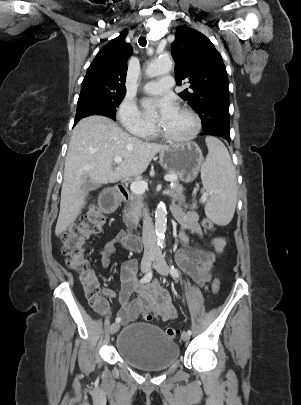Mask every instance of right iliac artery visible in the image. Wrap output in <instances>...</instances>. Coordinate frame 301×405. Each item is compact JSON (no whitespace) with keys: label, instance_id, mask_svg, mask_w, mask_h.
Returning a JSON list of instances; mask_svg holds the SVG:
<instances>
[{"label":"right iliac artery","instance_id":"right-iliac-artery-1","mask_svg":"<svg viewBox=\"0 0 301 405\" xmlns=\"http://www.w3.org/2000/svg\"><path fill=\"white\" fill-rule=\"evenodd\" d=\"M152 279V271H149L141 280L140 283H148L150 282V280ZM116 323H119L121 321V319L119 317L116 318Z\"/></svg>","mask_w":301,"mask_h":405}]
</instances>
